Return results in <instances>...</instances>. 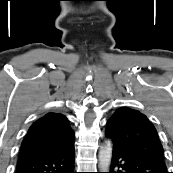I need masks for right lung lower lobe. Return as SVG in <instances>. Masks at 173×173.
I'll return each instance as SVG.
<instances>
[{
  "label": "right lung lower lobe",
  "mask_w": 173,
  "mask_h": 173,
  "mask_svg": "<svg viewBox=\"0 0 173 173\" xmlns=\"http://www.w3.org/2000/svg\"><path fill=\"white\" fill-rule=\"evenodd\" d=\"M15 173H75L74 145L60 151L18 159Z\"/></svg>",
  "instance_id": "obj_1"
}]
</instances>
